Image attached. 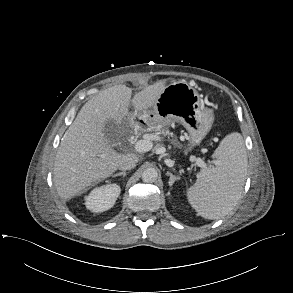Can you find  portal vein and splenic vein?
<instances>
[{
  "instance_id": "18ae733b",
  "label": "portal vein and splenic vein",
  "mask_w": 293,
  "mask_h": 293,
  "mask_svg": "<svg viewBox=\"0 0 293 293\" xmlns=\"http://www.w3.org/2000/svg\"><path fill=\"white\" fill-rule=\"evenodd\" d=\"M152 147L153 143L151 141L143 139L138 140L134 145L135 150L140 153L148 152L152 149ZM192 161H195L196 164L200 167H205V163L201 158L193 157Z\"/></svg>"
}]
</instances>
